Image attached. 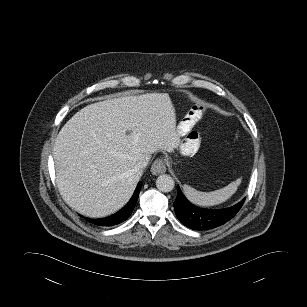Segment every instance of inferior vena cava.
<instances>
[{
    "label": "inferior vena cava",
    "instance_id": "602c4592",
    "mask_svg": "<svg viewBox=\"0 0 307 307\" xmlns=\"http://www.w3.org/2000/svg\"><path fill=\"white\" fill-rule=\"evenodd\" d=\"M148 163H149V159H147V158L141 159V160L137 163L136 169H137L138 171H141V172H142V170H143L144 168H146V166L148 165Z\"/></svg>",
    "mask_w": 307,
    "mask_h": 307
}]
</instances>
